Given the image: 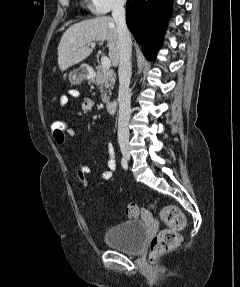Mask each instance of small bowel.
I'll return each instance as SVG.
<instances>
[{
	"label": "small bowel",
	"instance_id": "c3829d8e",
	"mask_svg": "<svg viewBox=\"0 0 240 287\" xmlns=\"http://www.w3.org/2000/svg\"><path fill=\"white\" fill-rule=\"evenodd\" d=\"M68 96H70L73 99H79L80 98V93L77 89L74 88H69L68 91ZM67 95H61L59 97V105L60 107H65L68 104L69 98ZM94 107V101L91 98L88 97H83L80 100V109L76 113V115L73 117L72 121H74L76 118L81 117L83 115L88 114ZM75 135V129L70 123V129L68 130V133L64 139L58 140L56 138L55 141L58 145L65 146L67 137H73ZM106 164H107V169L102 171L100 174V177L103 180H110L112 178L113 172L116 169V161L114 157V148L111 144L107 145V159H106ZM78 172H81L83 174H91L92 170L90 167L79 163L78 165ZM142 217L149 219L150 218V213L147 210L142 211Z\"/></svg>",
	"mask_w": 240,
	"mask_h": 287
}]
</instances>
